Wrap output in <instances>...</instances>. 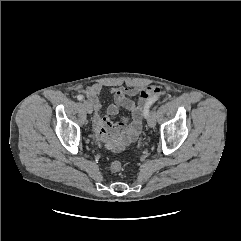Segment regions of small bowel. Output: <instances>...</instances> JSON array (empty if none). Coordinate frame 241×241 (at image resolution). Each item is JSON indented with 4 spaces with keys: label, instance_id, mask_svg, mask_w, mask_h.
Returning a JSON list of instances; mask_svg holds the SVG:
<instances>
[{
    "label": "small bowel",
    "instance_id": "small-bowel-1",
    "mask_svg": "<svg viewBox=\"0 0 241 241\" xmlns=\"http://www.w3.org/2000/svg\"><path fill=\"white\" fill-rule=\"evenodd\" d=\"M102 85L94 83L82 92L95 108L94 129L96 136L106 147L118 151L134 142L142 127L144 109L153 103L162 93L159 86L115 87L109 93L113 103L105 110L100 100ZM136 98V101L133 100ZM120 109L130 112V117L114 121Z\"/></svg>",
    "mask_w": 241,
    "mask_h": 241
}]
</instances>
